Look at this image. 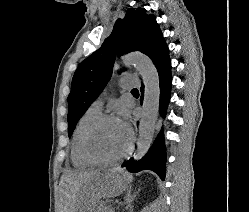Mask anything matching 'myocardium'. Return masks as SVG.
<instances>
[{
    "label": "myocardium",
    "instance_id": "obj_1",
    "mask_svg": "<svg viewBox=\"0 0 249 212\" xmlns=\"http://www.w3.org/2000/svg\"><path fill=\"white\" fill-rule=\"evenodd\" d=\"M119 122L122 123V121L114 116V115H100L97 118H95L85 129L81 142H80V152L82 157L84 158L85 161H87L89 164L94 165V166H111L119 163L122 161L124 158H126L130 152L132 151L133 148V141H134V134L132 130L129 129V135H130V141L128 144L127 149L119 156L116 158L110 159V160H102L97 158L91 151L90 148V143L93 134L97 130V128L102 125L105 122ZM123 124V123H122Z\"/></svg>",
    "mask_w": 249,
    "mask_h": 212
}]
</instances>
